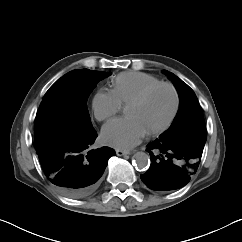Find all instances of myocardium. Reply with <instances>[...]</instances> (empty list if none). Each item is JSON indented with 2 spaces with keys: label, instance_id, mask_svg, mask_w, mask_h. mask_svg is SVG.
<instances>
[{
  "label": "myocardium",
  "instance_id": "1",
  "mask_svg": "<svg viewBox=\"0 0 242 242\" xmlns=\"http://www.w3.org/2000/svg\"><path fill=\"white\" fill-rule=\"evenodd\" d=\"M161 86H166V87H169L173 94H174V98H175V104H174V108H173V111L169 117V119L164 123L162 124L161 126L153 129V130H150L147 132V135L148 136H156V135H159L163 132H165L166 130H168L172 124L174 123L178 113H179V109H180V103H181V100H180V94H179V91L178 89L176 88V86L174 84H172L171 82H167V81H160V82H157L153 85H150L149 87L145 88L143 91H141L138 95H136L134 98H132L128 103H127V106L129 105H133V104H138V103H141L143 102L155 89H157L158 87H161Z\"/></svg>",
  "mask_w": 242,
  "mask_h": 242
}]
</instances>
